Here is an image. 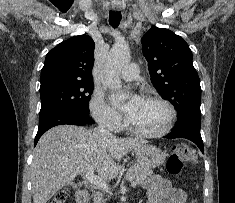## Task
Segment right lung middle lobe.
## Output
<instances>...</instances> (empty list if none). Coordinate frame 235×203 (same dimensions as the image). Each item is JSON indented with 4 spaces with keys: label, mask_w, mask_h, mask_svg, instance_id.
<instances>
[{
    "label": "right lung middle lobe",
    "mask_w": 235,
    "mask_h": 203,
    "mask_svg": "<svg viewBox=\"0 0 235 203\" xmlns=\"http://www.w3.org/2000/svg\"><path fill=\"white\" fill-rule=\"evenodd\" d=\"M92 92L93 81H57L42 85L39 117L62 110L88 114Z\"/></svg>",
    "instance_id": "1"
}]
</instances>
